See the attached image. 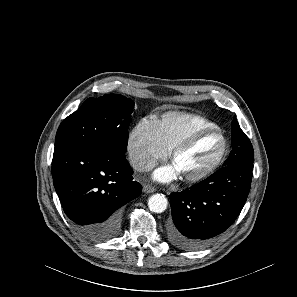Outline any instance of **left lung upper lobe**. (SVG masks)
Instances as JSON below:
<instances>
[{
	"instance_id": "1",
	"label": "left lung upper lobe",
	"mask_w": 297,
	"mask_h": 297,
	"mask_svg": "<svg viewBox=\"0 0 297 297\" xmlns=\"http://www.w3.org/2000/svg\"><path fill=\"white\" fill-rule=\"evenodd\" d=\"M232 151L224 162L227 166H249L254 162V151L252 144L246 134L241 130L236 118L232 121Z\"/></svg>"
}]
</instances>
